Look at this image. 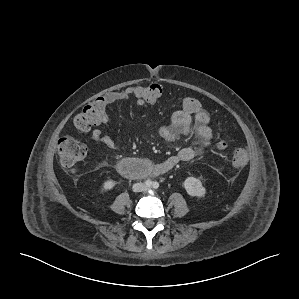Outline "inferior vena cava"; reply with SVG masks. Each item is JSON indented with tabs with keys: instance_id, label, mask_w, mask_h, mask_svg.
<instances>
[{
	"instance_id": "602c4592",
	"label": "inferior vena cava",
	"mask_w": 299,
	"mask_h": 299,
	"mask_svg": "<svg viewBox=\"0 0 299 299\" xmlns=\"http://www.w3.org/2000/svg\"><path fill=\"white\" fill-rule=\"evenodd\" d=\"M146 190H147V187L143 183H136L133 185V191H135V192H143Z\"/></svg>"
}]
</instances>
